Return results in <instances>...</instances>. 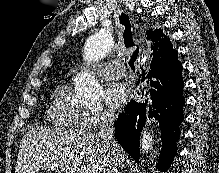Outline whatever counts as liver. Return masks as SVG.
<instances>
[{
    "label": "liver",
    "mask_w": 219,
    "mask_h": 173,
    "mask_svg": "<svg viewBox=\"0 0 219 173\" xmlns=\"http://www.w3.org/2000/svg\"><path fill=\"white\" fill-rule=\"evenodd\" d=\"M108 155L107 145L96 133L37 127L20 142L16 173H108ZM124 159L119 148L118 167Z\"/></svg>",
    "instance_id": "6515ba94"
}]
</instances>
